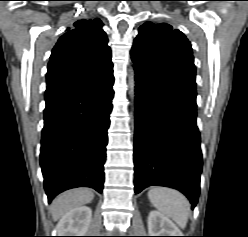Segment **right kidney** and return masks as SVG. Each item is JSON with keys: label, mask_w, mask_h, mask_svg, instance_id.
<instances>
[{"label": "right kidney", "mask_w": 248, "mask_h": 237, "mask_svg": "<svg viewBox=\"0 0 248 237\" xmlns=\"http://www.w3.org/2000/svg\"><path fill=\"white\" fill-rule=\"evenodd\" d=\"M92 210L80 206L67 212L57 225L58 236H85L91 223Z\"/></svg>", "instance_id": "obj_1"}]
</instances>
